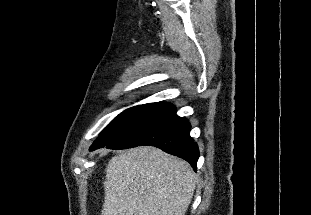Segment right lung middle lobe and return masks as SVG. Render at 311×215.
<instances>
[{
  "mask_svg": "<svg viewBox=\"0 0 311 215\" xmlns=\"http://www.w3.org/2000/svg\"><path fill=\"white\" fill-rule=\"evenodd\" d=\"M158 104L159 102L138 105L123 111L103 129L99 138L90 147V150L93 151L105 147L121 139Z\"/></svg>",
  "mask_w": 311,
  "mask_h": 215,
  "instance_id": "obj_1",
  "label": "right lung middle lobe"
}]
</instances>
